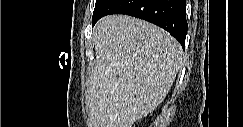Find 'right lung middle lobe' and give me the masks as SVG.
I'll use <instances>...</instances> for the list:
<instances>
[{"mask_svg": "<svg viewBox=\"0 0 243 127\" xmlns=\"http://www.w3.org/2000/svg\"><path fill=\"white\" fill-rule=\"evenodd\" d=\"M107 1L108 0H96L95 9H94V12H93V16L95 14H97L102 9V7L106 4Z\"/></svg>", "mask_w": 243, "mask_h": 127, "instance_id": "right-lung-middle-lobe-1", "label": "right lung middle lobe"}]
</instances>
